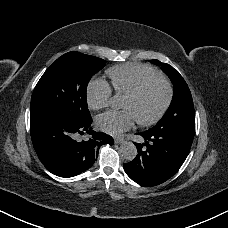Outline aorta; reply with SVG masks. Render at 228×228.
I'll return each instance as SVG.
<instances>
[{
    "mask_svg": "<svg viewBox=\"0 0 228 228\" xmlns=\"http://www.w3.org/2000/svg\"><path fill=\"white\" fill-rule=\"evenodd\" d=\"M111 106L113 108L120 107V98L119 96H114L111 99ZM119 153L122 159L126 161H132L137 155V148L132 142H123L120 145Z\"/></svg>",
    "mask_w": 228,
    "mask_h": 228,
    "instance_id": "1",
    "label": "aorta"
}]
</instances>
